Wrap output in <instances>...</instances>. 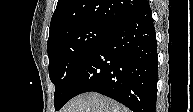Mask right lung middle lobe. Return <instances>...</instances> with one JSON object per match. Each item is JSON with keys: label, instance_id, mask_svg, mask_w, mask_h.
<instances>
[{"label": "right lung middle lobe", "instance_id": "1", "mask_svg": "<svg viewBox=\"0 0 193 112\" xmlns=\"http://www.w3.org/2000/svg\"><path fill=\"white\" fill-rule=\"evenodd\" d=\"M110 29L95 23H81L60 30L48 40L49 75L56 88V111L65 104L84 61Z\"/></svg>", "mask_w": 193, "mask_h": 112}]
</instances>
